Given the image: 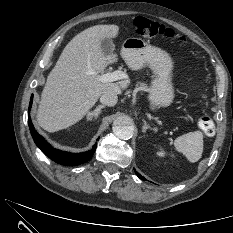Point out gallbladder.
Instances as JSON below:
<instances>
[{"label":"gallbladder","instance_id":"obj_1","mask_svg":"<svg viewBox=\"0 0 233 233\" xmlns=\"http://www.w3.org/2000/svg\"><path fill=\"white\" fill-rule=\"evenodd\" d=\"M101 48L104 54H111L114 51V44L110 38H105L101 42Z\"/></svg>","mask_w":233,"mask_h":233}]
</instances>
